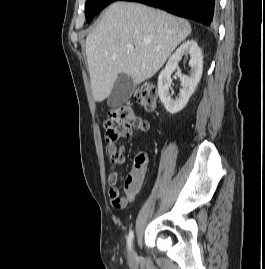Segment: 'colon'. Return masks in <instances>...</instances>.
<instances>
[{
  "label": "colon",
  "instance_id": "colon-1",
  "mask_svg": "<svg viewBox=\"0 0 265 269\" xmlns=\"http://www.w3.org/2000/svg\"><path fill=\"white\" fill-rule=\"evenodd\" d=\"M135 104L146 111H153L157 106V87L145 84L135 95L133 102H128L113 108L104 121L105 139L113 143L130 135L134 130H143L146 126L144 119L136 116Z\"/></svg>",
  "mask_w": 265,
  "mask_h": 269
}]
</instances>
